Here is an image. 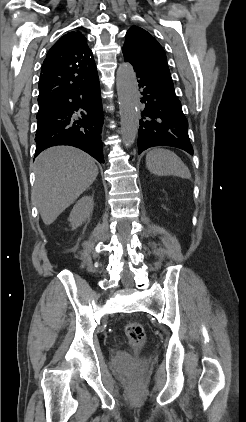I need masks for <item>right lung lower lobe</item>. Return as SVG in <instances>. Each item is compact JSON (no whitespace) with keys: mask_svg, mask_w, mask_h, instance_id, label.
I'll list each match as a JSON object with an SVG mask.
<instances>
[{"mask_svg":"<svg viewBox=\"0 0 246 422\" xmlns=\"http://www.w3.org/2000/svg\"><path fill=\"white\" fill-rule=\"evenodd\" d=\"M77 113L81 117H76ZM36 118V156L51 146L70 145L104 163L100 140L103 111L98 76L39 107Z\"/></svg>","mask_w":246,"mask_h":422,"instance_id":"right-lung-lower-lobe-1","label":"right lung lower lobe"}]
</instances>
